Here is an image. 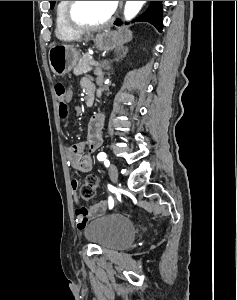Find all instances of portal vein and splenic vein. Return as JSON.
Returning a JSON list of instances; mask_svg holds the SVG:
<instances>
[{
	"label": "portal vein and splenic vein",
	"mask_w": 237,
	"mask_h": 300,
	"mask_svg": "<svg viewBox=\"0 0 237 300\" xmlns=\"http://www.w3.org/2000/svg\"><path fill=\"white\" fill-rule=\"evenodd\" d=\"M89 64H91V65L95 68V67H97V64H98V63H97L95 60H93V61H92L91 63H89Z\"/></svg>",
	"instance_id": "obj_1"
}]
</instances>
